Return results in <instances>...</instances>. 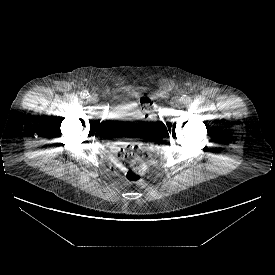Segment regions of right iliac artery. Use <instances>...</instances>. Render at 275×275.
<instances>
[{"instance_id":"1","label":"right iliac artery","mask_w":275,"mask_h":275,"mask_svg":"<svg viewBox=\"0 0 275 275\" xmlns=\"http://www.w3.org/2000/svg\"><path fill=\"white\" fill-rule=\"evenodd\" d=\"M80 96H81V98L85 99V98H88L89 93H88V91L84 90L80 93Z\"/></svg>"}]
</instances>
